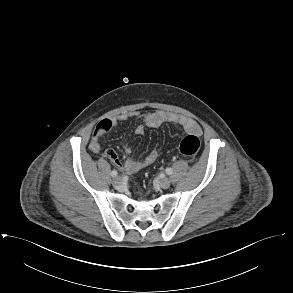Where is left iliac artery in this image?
<instances>
[{
	"label": "left iliac artery",
	"mask_w": 293,
	"mask_h": 293,
	"mask_svg": "<svg viewBox=\"0 0 293 293\" xmlns=\"http://www.w3.org/2000/svg\"><path fill=\"white\" fill-rule=\"evenodd\" d=\"M166 173H167L168 175H171V174L173 173V170H172L171 168H167V169H166Z\"/></svg>",
	"instance_id": "left-iliac-artery-1"
}]
</instances>
